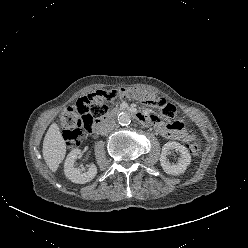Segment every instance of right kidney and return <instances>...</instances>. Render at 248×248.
<instances>
[{
	"label": "right kidney",
	"instance_id": "ca27d5eb",
	"mask_svg": "<svg viewBox=\"0 0 248 248\" xmlns=\"http://www.w3.org/2000/svg\"><path fill=\"white\" fill-rule=\"evenodd\" d=\"M83 152L80 149H73L65 160L64 173L65 176L72 182L84 184L91 181L97 174V167L91 164L87 172L82 173L79 168L75 167V161L82 156Z\"/></svg>",
	"mask_w": 248,
	"mask_h": 248
}]
</instances>
